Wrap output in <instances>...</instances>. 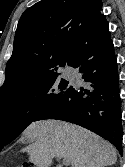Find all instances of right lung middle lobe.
Returning a JSON list of instances; mask_svg holds the SVG:
<instances>
[{"label": "right lung middle lobe", "mask_w": 125, "mask_h": 167, "mask_svg": "<svg viewBox=\"0 0 125 167\" xmlns=\"http://www.w3.org/2000/svg\"><path fill=\"white\" fill-rule=\"evenodd\" d=\"M72 89L58 74L36 86L0 100V147L13 141L52 102L63 100Z\"/></svg>", "instance_id": "obj_1"}]
</instances>
